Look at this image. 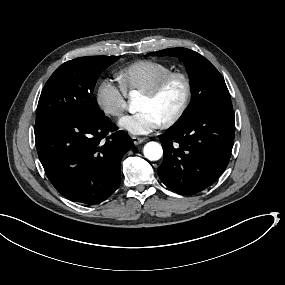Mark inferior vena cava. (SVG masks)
Segmentation results:
<instances>
[{
  "label": "inferior vena cava",
  "instance_id": "obj_1",
  "mask_svg": "<svg viewBox=\"0 0 285 285\" xmlns=\"http://www.w3.org/2000/svg\"><path fill=\"white\" fill-rule=\"evenodd\" d=\"M122 111H123L122 106H116V107H111L109 110V113L112 115L119 116V115H121Z\"/></svg>",
  "mask_w": 285,
  "mask_h": 285
}]
</instances>
